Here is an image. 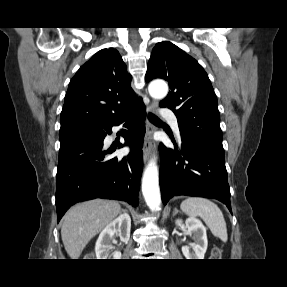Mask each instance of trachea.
<instances>
[{
  "mask_svg": "<svg viewBox=\"0 0 287 287\" xmlns=\"http://www.w3.org/2000/svg\"><path fill=\"white\" fill-rule=\"evenodd\" d=\"M148 118L153 123H160V122H162L158 117H156L155 115H153L151 113L148 114Z\"/></svg>",
  "mask_w": 287,
  "mask_h": 287,
  "instance_id": "3493384b",
  "label": "trachea"
}]
</instances>
